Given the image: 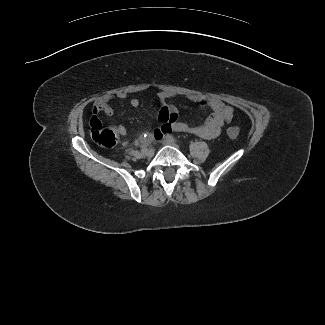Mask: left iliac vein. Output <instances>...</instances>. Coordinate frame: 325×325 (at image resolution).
<instances>
[{"mask_svg":"<svg viewBox=\"0 0 325 325\" xmlns=\"http://www.w3.org/2000/svg\"><path fill=\"white\" fill-rule=\"evenodd\" d=\"M163 144H164V145H170V146H173V147L179 148V145H178L176 142H174V141H172V140H169L168 138H165V139L163 140Z\"/></svg>","mask_w":325,"mask_h":325,"instance_id":"left-iliac-vein-1","label":"left iliac vein"}]
</instances>
